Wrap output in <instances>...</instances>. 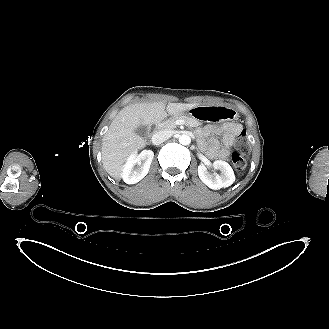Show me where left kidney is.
I'll return each mask as SVG.
<instances>
[{"label":"left kidney","mask_w":329,"mask_h":329,"mask_svg":"<svg viewBox=\"0 0 329 329\" xmlns=\"http://www.w3.org/2000/svg\"><path fill=\"white\" fill-rule=\"evenodd\" d=\"M213 166L215 169L221 171V175L217 173L210 174L204 165L198 166V175L203 183L214 190L229 187L233 184L235 181V175L233 169L227 162L217 160L214 161Z\"/></svg>","instance_id":"obj_1"}]
</instances>
